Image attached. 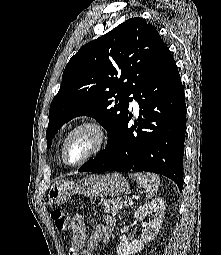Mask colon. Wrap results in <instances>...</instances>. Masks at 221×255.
I'll use <instances>...</instances> for the list:
<instances>
[{
    "mask_svg": "<svg viewBox=\"0 0 221 255\" xmlns=\"http://www.w3.org/2000/svg\"><path fill=\"white\" fill-rule=\"evenodd\" d=\"M51 218L58 230L79 233L83 229V221L80 216L77 215L73 218H69L59 208H53L51 210Z\"/></svg>",
    "mask_w": 221,
    "mask_h": 255,
    "instance_id": "1",
    "label": "colon"
}]
</instances>
